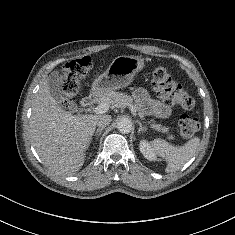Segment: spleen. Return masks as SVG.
<instances>
[{
  "label": "spleen",
  "instance_id": "3e777b00",
  "mask_svg": "<svg viewBox=\"0 0 235 235\" xmlns=\"http://www.w3.org/2000/svg\"><path fill=\"white\" fill-rule=\"evenodd\" d=\"M200 139L194 137L183 146H173L163 139L152 141V147L156 154L167 161L166 172H174L184 166L194 155Z\"/></svg>",
  "mask_w": 235,
  "mask_h": 235
}]
</instances>
